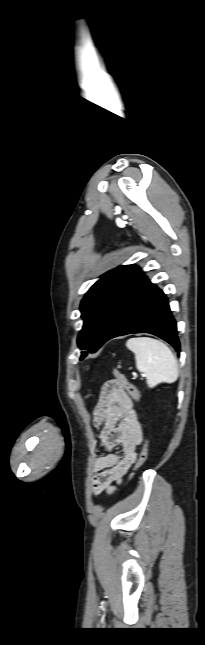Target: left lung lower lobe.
<instances>
[{
    "instance_id": "obj_1",
    "label": "left lung lower lobe",
    "mask_w": 205,
    "mask_h": 645,
    "mask_svg": "<svg viewBox=\"0 0 205 645\" xmlns=\"http://www.w3.org/2000/svg\"><path fill=\"white\" fill-rule=\"evenodd\" d=\"M133 333L153 334L180 351L176 321L167 297L138 266L133 268L116 298L103 344Z\"/></svg>"
}]
</instances>
